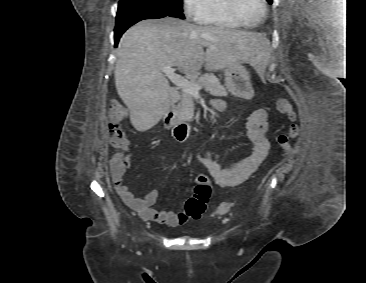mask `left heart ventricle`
Returning a JSON list of instances; mask_svg holds the SVG:
<instances>
[{"label":"left heart ventricle","mask_w":366,"mask_h":283,"mask_svg":"<svg viewBox=\"0 0 366 283\" xmlns=\"http://www.w3.org/2000/svg\"><path fill=\"white\" fill-rule=\"evenodd\" d=\"M260 0H239L238 11L243 20L249 24L256 22L262 14Z\"/></svg>","instance_id":"left-heart-ventricle-1"}]
</instances>
